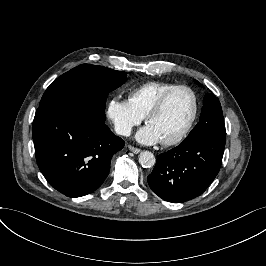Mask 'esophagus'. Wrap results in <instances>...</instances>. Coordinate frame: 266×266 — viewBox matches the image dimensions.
Instances as JSON below:
<instances>
[{
    "label": "esophagus",
    "mask_w": 266,
    "mask_h": 266,
    "mask_svg": "<svg viewBox=\"0 0 266 266\" xmlns=\"http://www.w3.org/2000/svg\"><path fill=\"white\" fill-rule=\"evenodd\" d=\"M128 148H129L130 151H132V152L135 153V154H138V153L141 152V150H140L139 148H137V147H133V146H131V145H128Z\"/></svg>",
    "instance_id": "esophagus-1"
}]
</instances>
